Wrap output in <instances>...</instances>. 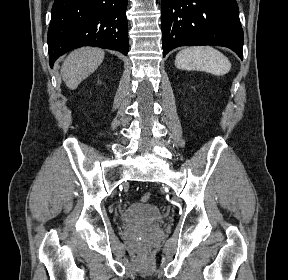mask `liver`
I'll return each instance as SVG.
<instances>
[{
    "label": "liver",
    "instance_id": "1",
    "mask_svg": "<svg viewBox=\"0 0 288 280\" xmlns=\"http://www.w3.org/2000/svg\"><path fill=\"white\" fill-rule=\"evenodd\" d=\"M104 51L98 48H81L69 54L65 59L61 75L66 86L75 90L103 62Z\"/></svg>",
    "mask_w": 288,
    "mask_h": 280
}]
</instances>
